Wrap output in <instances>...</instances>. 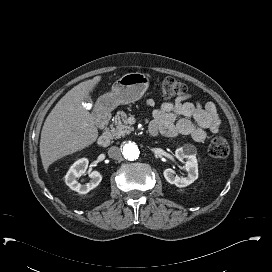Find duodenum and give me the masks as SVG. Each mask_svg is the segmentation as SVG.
Returning <instances> with one entry per match:
<instances>
[{
  "mask_svg": "<svg viewBox=\"0 0 272 272\" xmlns=\"http://www.w3.org/2000/svg\"><path fill=\"white\" fill-rule=\"evenodd\" d=\"M95 119L101 124L103 129H106L108 126V123L111 119L110 111H109V106L104 105L98 109L95 110ZM158 127L156 124H150L149 129H148V134L151 137H156L158 134ZM111 142V136L108 132H103L99 138H98V145L100 147H106L110 144Z\"/></svg>",
  "mask_w": 272,
  "mask_h": 272,
  "instance_id": "duodenum-1",
  "label": "duodenum"
}]
</instances>
